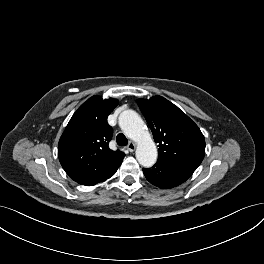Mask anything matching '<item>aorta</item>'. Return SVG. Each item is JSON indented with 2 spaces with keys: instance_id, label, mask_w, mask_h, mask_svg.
Instances as JSON below:
<instances>
[{
  "instance_id": "1",
  "label": "aorta",
  "mask_w": 264,
  "mask_h": 264,
  "mask_svg": "<svg viewBox=\"0 0 264 264\" xmlns=\"http://www.w3.org/2000/svg\"><path fill=\"white\" fill-rule=\"evenodd\" d=\"M119 126L126 136L137 143L136 158L139 164L146 168L153 166L157 160V148L138 113L123 111L119 116Z\"/></svg>"
}]
</instances>
